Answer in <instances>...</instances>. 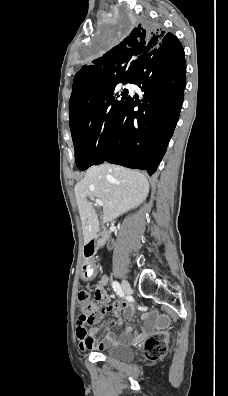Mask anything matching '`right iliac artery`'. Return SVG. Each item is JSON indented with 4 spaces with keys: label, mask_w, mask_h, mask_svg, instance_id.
Here are the masks:
<instances>
[{
    "label": "right iliac artery",
    "mask_w": 228,
    "mask_h": 396,
    "mask_svg": "<svg viewBox=\"0 0 228 396\" xmlns=\"http://www.w3.org/2000/svg\"><path fill=\"white\" fill-rule=\"evenodd\" d=\"M112 287L114 288V291L117 292V294L122 292L121 286L117 281L112 282Z\"/></svg>",
    "instance_id": "right-iliac-artery-1"
}]
</instances>
